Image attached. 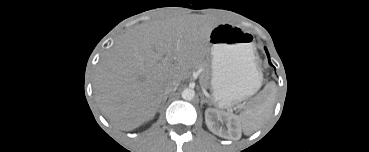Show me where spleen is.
Returning a JSON list of instances; mask_svg holds the SVG:
<instances>
[{"mask_svg": "<svg viewBox=\"0 0 369 152\" xmlns=\"http://www.w3.org/2000/svg\"><path fill=\"white\" fill-rule=\"evenodd\" d=\"M275 88L274 82L267 84L264 90L250 102L248 109L238 116V120L246 134L259 129L272 114L276 94Z\"/></svg>", "mask_w": 369, "mask_h": 152, "instance_id": "1", "label": "spleen"}]
</instances>
